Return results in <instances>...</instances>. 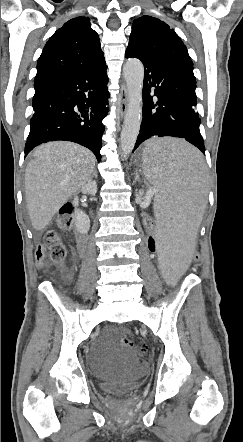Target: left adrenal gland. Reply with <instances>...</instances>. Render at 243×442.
I'll return each instance as SVG.
<instances>
[{
    "label": "left adrenal gland",
    "instance_id": "obj_1",
    "mask_svg": "<svg viewBox=\"0 0 243 442\" xmlns=\"http://www.w3.org/2000/svg\"><path fill=\"white\" fill-rule=\"evenodd\" d=\"M136 181H139V173L138 172L135 173L134 182H136Z\"/></svg>",
    "mask_w": 243,
    "mask_h": 442
}]
</instances>
